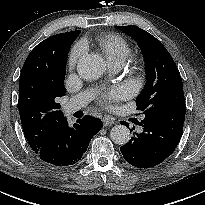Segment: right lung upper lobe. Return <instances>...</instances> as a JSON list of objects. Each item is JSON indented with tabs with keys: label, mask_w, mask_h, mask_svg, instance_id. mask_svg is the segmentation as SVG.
Wrapping results in <instances>:
<instances>
[{
	"label": "right lung upper lobe",
	"mask_w": 205,
	"mask_h": 205,
	"mask_svg": "<svg viewBox=\"0 0 205 205\" xmlns=\"http://www.w3.org/2000/svg\"><path fill=\"white\" fill-rule=\"evenodd\" d=\"M80 32L61 33L42 41L22 67L19 114L24 135L35 152L65 119L57 99L65 95L67 53Z\"/></svg>",
	"instance_id": "right-lung-upper-lobe-1"
}]
</instances>
